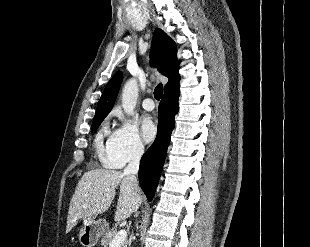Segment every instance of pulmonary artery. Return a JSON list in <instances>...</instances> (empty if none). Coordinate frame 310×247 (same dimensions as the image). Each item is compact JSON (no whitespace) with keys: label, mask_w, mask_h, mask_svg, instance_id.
<instances>
[{"label":"pulmonary artery","mask_w":310,"mask_h":247,"mask_svg":"<svg viewBox=\"0 0 310 247\" xmlns=\"http://www.w3.org/2000/svg\"><path fill=\"white\" fill-rule=\"evenodd\" d=\"M142 106L147 111H152L155 108L154 101L151 98H146L143 101Z\"/></svg>","instance_id":"e3ab8cb5"}]
</instances>
